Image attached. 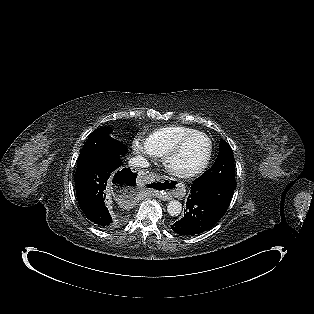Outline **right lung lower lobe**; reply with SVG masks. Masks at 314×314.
Returning a JSON list of instances; mask_svg holds the SVG:
<instances>
[{"label": "right lung lower lobe", "instance_id": "right-lung-lower-lobe-1", "mask_svg": "<svg viewBox=\"0 0 314 314\" xmlns=\"http://www.w3.org/2000/svg\"><path fill=\"white\" fill-rule=\"evenodd\" d=\"M137 174L123 168L121 155H113L75 173V188L79 206L85 216L101 228L112 229L119 219L110 215L105 206L106 186L120 181L123 186L133 187Z\"/></svg>", "mask_w": 314, "mask_h": 314}]
</instances>
